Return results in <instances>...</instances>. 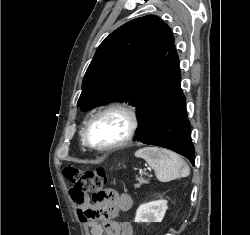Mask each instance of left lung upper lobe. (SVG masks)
<instances>
[{
    "mask_svg": "<svg viewBox=\"0 0 250 235\" xmlns=\"http://www.w3.org/2000/svg\"><path fill=\"white\" fill-rule=\"evenodd\" d=\"M174 45L168 25L147 15L131 20L98 47L83 79V110L119 101L137 106Z\"/></svg>",
    "mask_w": 250,
    "mask_h": 235,
    "instance_id": "1",
    "label": "left lung upper lobe"
}]
</instances>
